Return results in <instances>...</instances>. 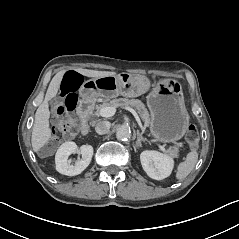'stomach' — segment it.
Wrapping results in <instances>:
<instances>
[{"label": "stomach", "mask_w": 239, "mask_h": 239, "mask_svg": "<svg viewBox=\"0 0 239 239\" xmlns=\"http://www.w3.org/2000/svg\"><path fill=\"white\" fill-rule=\"evenodd\" d=\"M149 88L150 81L146 76L123 72L89 79L81 85L79 94L84 101L94 103L99 97H138ZM147 106L151 113L150 131L156 141L175 143L184 136L190 116L178 81L165 79L158 82L147 96Z\"/></svg>", "instance_id": "0dacf381"}]
</instances>
